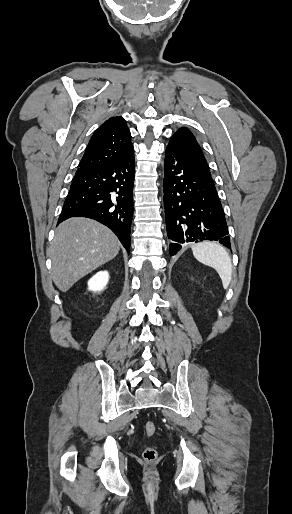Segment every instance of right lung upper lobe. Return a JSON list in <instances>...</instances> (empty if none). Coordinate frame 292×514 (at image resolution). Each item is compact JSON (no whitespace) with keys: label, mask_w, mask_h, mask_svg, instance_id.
I'll return each mask as SVG.
<instances>
[{"label":"right lung upper lobe","mask_w":292,"mask_h":514,"mask_svg":"<svg viewBox=\"0 0 292 514\" xmlns=\"http://www.w3.org/2000/svg\"><path fill=\"white\" fill-rule=\"evenodd\" d=\"M133 154L125 119L111 117L91 137L79 168H95L120 162Z\"/></svg>","instance_id":"obj_1"}]
</instances>
